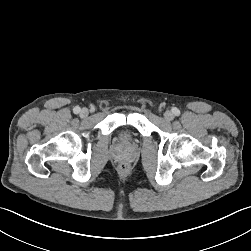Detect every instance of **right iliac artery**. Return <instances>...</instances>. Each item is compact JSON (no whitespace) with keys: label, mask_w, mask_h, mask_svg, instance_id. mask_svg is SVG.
Here are the masks:
<instances>
[{"label":"right iliac artery","mask_w":251,"mask_h":251,"mask_svg":"<svg viewBox=\"0 0 251 251\" xmlns=\"http://www.w3.org/2000/svg\"><path fill=\"white\" fill-rule=\"evenodd\" d=\"M73 112L75 114H78L80 112V107L76 106L74 109H73Z\"/></svg>","instance_id":"right-iliac-artery-1"}]
</instances>
